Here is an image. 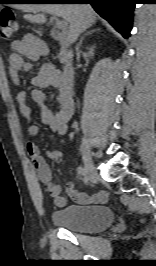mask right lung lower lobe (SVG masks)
Instances as JSON below:
<instances>
[{"instance_id":"98d812e1","label":"right lung lower lobe","mask_w":156,"mask_h":266,"mask_svg":"<svg viewBox=\"0 0 156 266\" xmlns=\"http://www.w3.org/2000/svg\"><path fill=\"white\" fill-rule=\"evenodd\" d=\"M61 4H91L104 19L125 38L132 29L133 10L136 0H47Z\"/></svg>"}]
</instances>
